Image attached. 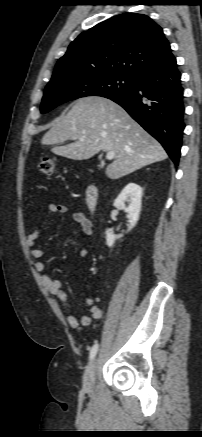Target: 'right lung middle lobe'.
Segmentation results:
<instances>
[{
    "mask_svg": "<svg viewBox=\"0 0 202 437\" xmlns=\"http://www.w3.org/2000/svg\"><path fill=\"white\" fill-rule=\"evenodd\" d=\"M134 77L120 73L99 75H71L51 80L45 88L41 113L70 100L86 96L110 97L128 91L135 82Z\"/></svg>",
    "mask_w": 202,
    "mask_h": 437,
    "instance_id": "dd1d6c3e",
    "label": "right lung middle lobe"
}]
</instances>
